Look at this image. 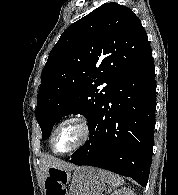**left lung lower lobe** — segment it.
<instances>
[{
  "label": "left lung lower lobe",
  "instance_id": "left-lung-lower-lobe-1",
  "mask_svg": "<svg viewBox=\"0 0 178 195\" xmlns=\"http://www.w3.org/2000/svg\"><path fill=\"white\" fill-rule=\"evenodd\" d=\"M155 110V68L150 51L111 87L89 125V141L72 154L70 162L103 168L145 186L152 163Z\"/></svg>",
  "mask_w": 178,
  "mask_h": 195
}]
</instances>
